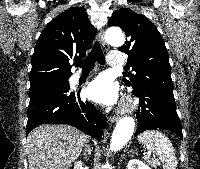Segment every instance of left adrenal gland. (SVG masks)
Returning a JSON list of instances; mask_svg holds the SVG:
<instances>
[{
  "label": "left adrenal gland",
  "instance_id": "left-adrenal-gland-1",
  "mask_svg": "<svg viewBox=\"0 0 200 169\" xmlns=\"http://www.w3.org/2000/svg\"><path fill=\"white\" fill-rule=\"evenodd\" d=\"M134 153H136V152H134V150H130V151L128 152V155L131 156V154H134Z\"/></svg>",
  "mask_w": 200,
  "mask_h": 169
}]
</instances>
